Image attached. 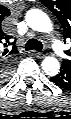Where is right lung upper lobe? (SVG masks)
I'll list each match as a JSON object with an SVG mask.
<instances>
[{
	"label": "right lung upper lobe",
	"instance_id": "1",
	"mask_svg": "<svg viewBox=\"0 0 71 119\" xmlns=\"http://www.w3.org/2000/svg\"><path fill=\"white\" fill-rule=\"evenodd\" d=\"M9 15H10L9 9L2 6V8H1V18L4 19L5 17H7ZM8 40H9V38L7 36L3 37V42H6V43L10 44V42H8ZM11 44L14 45V43H11ZM11 52H13V53L17 52V50L14 48V46H13V49H12Z\"/></svg>",
	"mask_w": 71,
	"mask_h": 119
}]
</instances>
